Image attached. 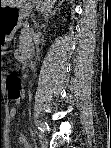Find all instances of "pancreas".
<instances>
[{"instance_id":"obj_1","label":"pancreas","mask_w":111,"mask_h":148,"mask_svg":"<svg viewBox=\"0 0 111 148\" xmlns=\"http://www.w3.org/2000/svg\"><path fill=\"white\" fill-rule=\"evenodd\" d=\"M21 34H22V38H26V37H29L30 36V34L29 33H26V32H21ZM29 39V38H28Z\"/></svg>"}]
</instances>
